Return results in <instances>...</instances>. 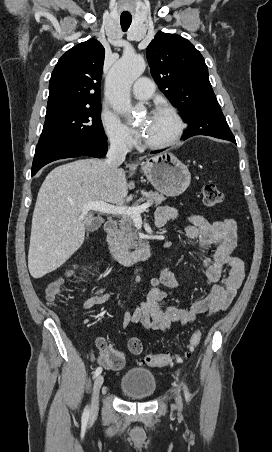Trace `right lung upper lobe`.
<instances>
[{
	"instance_id": "right-lung-upper-lobe-1",
	"label": "right lung upper lobe",
	"mask_w": 272,
	"mask_h": 452,
	"mask_svg": "<svg viewBox=\"0 0 272 452\" xmlns=\"http://www.w3.org/2000/svg\"><path fill=\"white\" fill-rule=\"evenodd\" d=\"M104 55L102 44L90 39L71 48L59 59L49 82L46 114L101 105Z\"/></svg>"
}]
</instances>
